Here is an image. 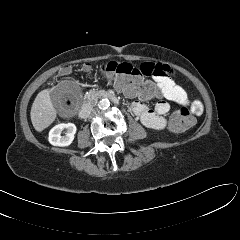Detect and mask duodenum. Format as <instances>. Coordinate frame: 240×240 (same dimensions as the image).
<instances>
[{
    "label": "duodenum",
    "mask_w": 240,
    "mask_h": 240,
    "mask_svg": "<svg viewBox=\"0 0 240 240\" xmlns=\"http://www.w3.org/2000/svg\"><path fill=\"white\" fill-rule=\"evenodd\" d=\"M97 99H109L112 101H116L115 95L110 92H107V91L92 92L88 94V96L86 97L85 102L79 112V116L81 118L87 117V115L90 112L92 104Z\"/></svg>",
    "instance_id": "duodenum-1"
}]
</instances>
